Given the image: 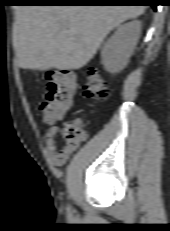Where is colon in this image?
I'll list each match as a JSON object with an SVG mask.
<instances>
[{"mask_svg": "<svg viewBox=\"0 0 170 231\" xmlns=\"http://www.w3.org/2000/svg\"><path fill=\"white\" fill-rule=\"evenodd\" d=\"M47 94L40 104L44 121L48 124L62 120L73 107L76 93V79L69 71H51L47 75ZM109 87L102 75L94 68L86 73L83 93L87 98H106ZM65 146L76 149L89 138V130L80 122L65 125L62 130Z\"/></svg>", "mask_w": 170, "mask_h": 231, "instance_id": "5ec220e1", "label": "colon"}]
</instances>
